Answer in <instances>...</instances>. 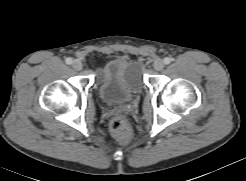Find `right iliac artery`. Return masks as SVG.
I'll use <instances>...</instances> for the list:
<instances>
[{
    "label": "right iliac artery",
    "mask_w": 246,
    "mask_h": 181,
    "mask_svg": "<svg viewBox=\"0 0 246 181\" xmlns=\"http://www.w3.org/2000/svg\"><path fill=\"white\" fill-rule=\"evenodd\" d=\"M65 62H66V64H72L73 60H72V58L68 57V58H66Z\"/></svg>",
    "instance_id": "obj_1"
}]
</instances>
